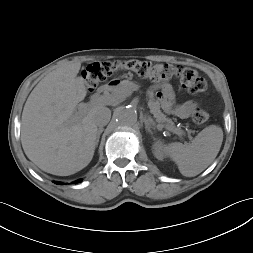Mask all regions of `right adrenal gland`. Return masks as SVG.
<instances>
[{
    "label": "right adrenal gland",
    "mask_w": 253,
    "mask_h": 253,
    "mask_svg": "<svg viewBox=\"0 0 253 253\" xmlns=\"http://www.w3.org/2000/svg\"><path fill=\"white\" fill-rule=\"evenodd\" d=\"M103 127H100L97 131V140H96V146L98 145L99 139H100V135L103 132Z\"/></svg>",
    "instance_id": "right-adrenal-gland-1"
}]
</instances>
